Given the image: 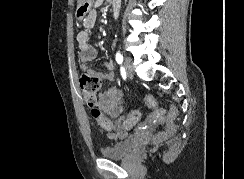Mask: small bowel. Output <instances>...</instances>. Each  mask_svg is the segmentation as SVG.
Wrapping results in <instances>:
<instances>
[{
  "label": "small bowel",
  "instance_id": "1",
  "mask_svg": "<svg viewBox=\"0 0 244 179\" xmlns=\"http://www.w3.org/2000/svg\"><path fill=\"white\" fill-rule=\"evenodd\" d=\"M100 3L93 2L91 3V9L89 12V18H79L82 20L83 29L77 35V41L79 46V59L81 61V69L84 72L89 74H93L98 76L101 80L111 81L114 79V62L112 60H106L104 66L106 68L105 71L90 67L88 65L89 62L95 60L97 58V51L91 45L89 40V31L95 26L97 20V11L96 7L99 6ZM118 6L114 5L113 9ZM119 11V8H118ZM97 106L99 109L107 113L113 118L117 119V128L116 130L111 133L113 137H124L126 133L133 127V126H123V121L125 119L121 117L122 113V99H121V92L112 87L109 88L101 93H99L97 102ZM130 116H140L138 114H131ZM127 127L128 131L124 132L123 128Z\"/></svg>",
  "mask_w": 244,
  "mask_h": 179
}]
</instances>
